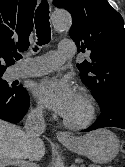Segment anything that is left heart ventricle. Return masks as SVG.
Returning <instances> with one entry per match:
<instances>
[{"label": "left heart ventricle", "instance_id": "1", "mask_svg": "<svg viewBox=\"0 0 125 167\" xmlns=\"http://www.w3.org/2000/svg\"><path fill=\"white\" fill-rule=\"evenodd\" d=\"M86 115L87 107L82 98L79 95H77L73 106L71 107L70 111L67 113L65 118L77 122L83 120L86 117Z\"/></svg>", "mask_w": 125, "mask_h": 167}]
</instances>
